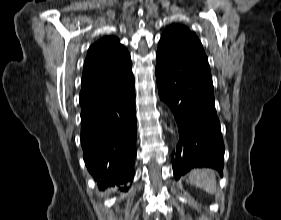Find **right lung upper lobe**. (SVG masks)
I'll return each instance as SVG.
<instances>
[{
    "label": "right lung upper lobe",
    "instance_id": "obj_1",
    "mask_svg": "<svg viewBox=\"0 0 281 220\" xmlns=\"http://www.w3.org/2000/svg\"><path fill=\"white\" fill-rule=\"evenodd\" d=\"M134 78L127 49L115 36L90 46L84 63L80 99L122 87Z\"/></svg>",
    "mask_w": 281,
    "mask_h": 220
}]
</instances>
